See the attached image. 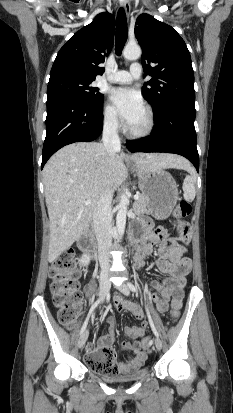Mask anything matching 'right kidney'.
I'll use <instances>...</instances> for the list:
<instances>
[{"label":"right kidney","mask_w":233,"mask_h":413,"mask_svg":"<svg viewBox=\"0 0 233 413\" xmlns=\"http://www.w3.org/2000/svg\"><path fill=\"white\" fill-rule=\"evenodd\" d=\"M90 262V257L87 254H83L81 259L79 260V264L82 266H87Z\"/></svg>","instance_id":"ca27d5eb"}]
</instances>
